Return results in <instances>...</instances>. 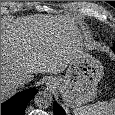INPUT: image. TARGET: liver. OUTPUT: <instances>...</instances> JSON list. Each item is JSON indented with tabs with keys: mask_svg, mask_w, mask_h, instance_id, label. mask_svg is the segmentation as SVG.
<instances>
[{
	"mask_svg": "<svg viewBox=\"0 0 115 115\" xmlns=\"http://www.w3.org/2000/svg\"><path fill=\"white\" fill-rule=\"evenodd\" d=\"M83 35L63 16L31 15L1 24V102L17 91L14 80L63 72L78 55Z\"/></svg>",
	"mask_w": 115,
	"mask_h": 115,
	"instance_id": "1",
	"label": "liver"
}]
</instances>
